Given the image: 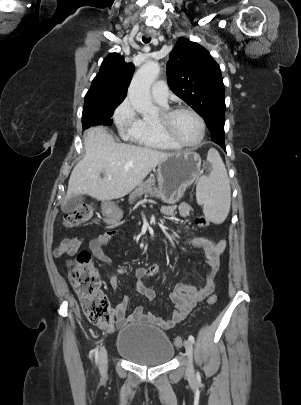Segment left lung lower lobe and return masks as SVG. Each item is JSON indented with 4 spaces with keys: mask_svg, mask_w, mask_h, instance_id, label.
<instances>
[{
    "mask_svg": "<svg viewBox=\"0 0 301 405\" xmlns=\"http://www.w3.org/2000/svg\"><path fill=\"white\" fill-rule=\"evenodd\" d=\"M212 141L217 143L218 145H220L225 150L224 139L215 138V139H212Z\"/></svg>",
    "mask_w": 301,
    "mask_h": 405,
    "instance_id": "0a47b994",
    "label": "left lung lower lobe"
}]
</instances>
